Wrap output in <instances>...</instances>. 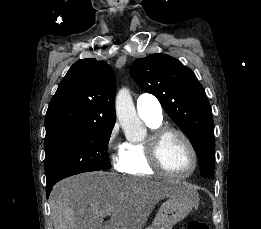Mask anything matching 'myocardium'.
I'll use <instances>...</instances> for the list:
<instances>
[{
	"label": "myocardium",
	"instance_id": "obj_1",
	"mask_svg": "<svg viewBox=\"0 0 261 229\" xmlns=\"http://www.w3.org/2000/svg\"><path fill=\"white\" fill-rule=\"evenodd\" d=\"M171 135L179 136L187 145L191 156H192V166L191 168L183 174L175 173L167 168L162 159V147L167 137ZM149 158L153 167L159 171L160 173L171 177V178H187L191 176L197 168L198 158L196 149L189 139V137L181 130L170 127V126H162L155 131L152 132L151 137L149 139Z\"/></svg>",
	"mask_w": 261,
	"mask_h": 229
}]
</instances>
